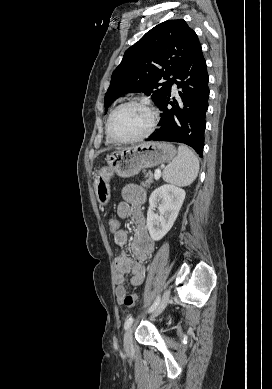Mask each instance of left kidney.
<instances>
[{
	"instance_id": "1",
	"label": "left kidney",
	"mask_w": 272,
	"mask_h": 389,
	"mask_svg": "<svg viewBox=\"0 0 272 389\" xmlns=\"http://www.w3.org/2000/svg\"><path fill=\"white\" fill-rule=\"evenodd\" d=\"M185 190L171 184L155 189L149 197L147 228L153 240H161L172 228L185 199ZM160 202L159 206L157 203ZM158 208L159 214L155 212Z\"/></svg>"
}]
</instances>
